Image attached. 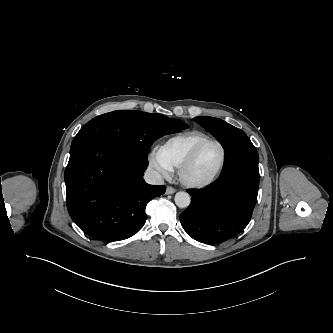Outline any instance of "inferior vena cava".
Returning <instances> with one entry per match:
<instances>
[{
    "label": "inferior vena cava",
    "mask_w": 333,
    "mask_h": 333,
    "mask_svg": "<svg viewBox=\"0 0 333 333\" xmlns=\"http://www.w3.org/2000/svg\"><path fill=\"white\" fill-rule=\"evenodd\" d=\"M144 180L148 184L152 185H162L164 183L163 178L160 173L154 169L148 168L144 173Z\"/></svg>",
    "instance_id": "602c4592"
}]
</instances>
